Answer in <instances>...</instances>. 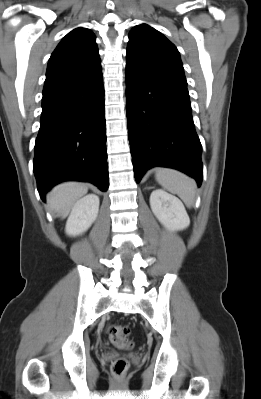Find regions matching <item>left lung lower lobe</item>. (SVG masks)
<instances>
[{"label":"left lung lower lobe","mask_w":261,"mask_h":399,"mask_svg":"<svg viewBox=\"0 0 261 399\" xmlns=\"http://www.w3.org/2000/svg\"><path fill=\"white\" fill-rule=\"evenodd\" d=\"M126 108L137 183L152 167L203 177L201 143L191 114L187 86L139 76L126 68Z\"/></svg>","instance_id":"1"}]
</instances>
